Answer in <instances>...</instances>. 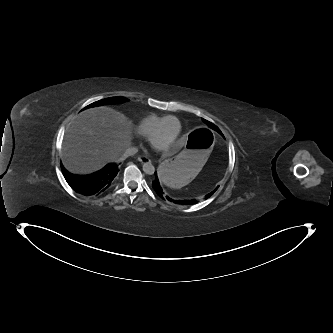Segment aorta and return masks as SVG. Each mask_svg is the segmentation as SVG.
<instances>
[{
    "mask_svg": "<svg viewBox=\"0 0 333 333\" xmlns=\"http://www.w3.org/2000/svg\"><path fill=\"white\" fill-rule=\"evenodd\" d=\"M143 171L146 173V174H149V175H152L154 172H155V168L154 166L152 165V163L150 162H147L143 165Z\"/></svg>",
    "mask_w": 333,
    "mask_h": 333,
    "instance_id": "aorta-1",
    "label": "aorta"
}]
</instances>
